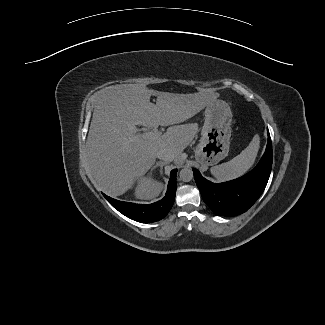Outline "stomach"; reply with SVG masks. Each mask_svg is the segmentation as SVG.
I'll return each mask as SVG.
<instances>
[{
	"label": "stomach",
	"mask_w": 325,
	"mask_h": 325,
	"mask_svg": "<svg viewBox=\"0 0 325 325\" xmlns=\"http://www.w3.org/2000/svg\"><path fill=\"white\" fill-rule=\"evenodd\" d=\"M231 121L232 112L227 102L216 100L206 107L201 141L195 151V158L202 166L215 165L228 155Z\"/></svg>",
	"instance_id": "0dacf381"
}]
</instances>
